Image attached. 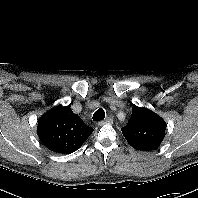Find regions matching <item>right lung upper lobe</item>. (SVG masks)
Wrapping results in <instances>:
<instances>
[{"instance_id":"1","label":"right lung upper lobe","mask_w":198,"mask_h":198,"mask_svg":"<svg viewBox=\"0 0 198 198\" xmlns=\"http://www.w3.org/2000/svg\"><path fill=\"white\" fill-rule=\"evenodd\" d=\"M37 132L47 148L57 153L69 154L87 140L93 129L74 114L69 106L59 105L39 118Z\"/></svg>"}]
</instances>
